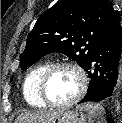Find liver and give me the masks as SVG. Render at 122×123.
<instances>
[{
    "instance_id": "1",
    "label": "liver",
    "mask_w": 122,
    "mask_h": 123,
    "mask_svg": "<svg viewBox=\"0 0 122 123\" xmlns=\"http://www.w3.org/2000/svg\"><path fill=\"white\" fill-rule=\"evenodd\" d=\"M52 114L45 111L25 112L17 117L15 123H47Z\"/></svg>"
}]
</instances>
